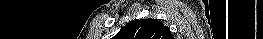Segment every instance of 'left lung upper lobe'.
I'll use <instances>...</instances> for the list:
<instances>
[{
  "label": "left lung upper lobe",
  "mask_w": 263,
  "mask_h": 39,
  "mask_svg": "<svg viewBox=\"0 0 263 39\" xmlns=\"http://www.w3.org/2000/svg\"><path fill=\"white\" fill-rule=\"evenodd\" d=\"M115 39H173L170 29L153 18L135 20L124 26Z\"/></svg>",
  "instance_id": "obj_1"
}]
</instances>
